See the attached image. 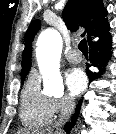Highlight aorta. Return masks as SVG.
Wrapping results in <instances>:
<instances>
[{"mask_svg":"<svg viewBox=\"0 0 116 134\" xmlns=\"http://www.w3.org/2000/svg\"><path fill=\"white\" fill-rule=\"evenodd\" d=\"M62 38L53 28L43 31L36 43V58L43 78L44 91L49 95L61 96L64 92L63 79L59 71Z\"/></svg>","mask_w":116,"mask_h":134,"instance_id":"obj_1","label":"aorta"}]
</instances>
